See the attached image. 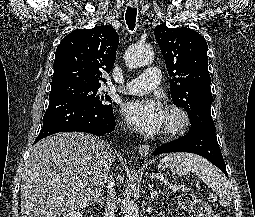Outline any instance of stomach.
Returning <instances> with one entry per match:
<instances>
[{"mask_svg": "<svg viewBox=\"0 0 255 217\" xmlns=\"http://www.w3.org/2000/svg\"><path fill=\"white\" fill-rule=\"evenodd\" d=\"M166 166L171 170V172L178 174L180 176L186 174V172L188 171L185 166L175 162H168L166 163Z\"/></svg>", "mask_w": 255, "mask_h": 217, "instance_id": "1", "label": "stomach"}]
</instances>
